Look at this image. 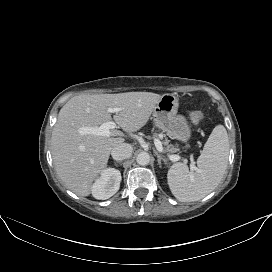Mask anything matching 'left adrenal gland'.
<instances>
[{
  "mask_svg": "<svg viewBox=\"0 0 272 272\" xmlns=\"http://www.w3.org/2000/svg\"><path fill=\"white\" fill-rule=\"evenodd\" d=\"M154 153L157 156L159 167H161V161H163L165 164L167 163V159L160 155L156 150L154 151Z\"/></svg>",
  "mask_w": 272,
  "mask_h": 272,
  "instance_id": "obj_1",
  "label": "left adrenal gland"
}]
</instances>
